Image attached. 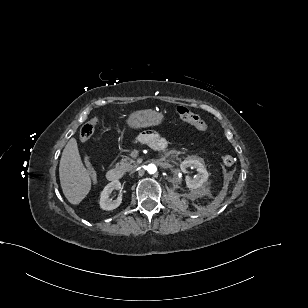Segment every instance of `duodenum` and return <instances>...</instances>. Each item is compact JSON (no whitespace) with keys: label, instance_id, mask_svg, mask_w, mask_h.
Here are the masks:
<instances>
[{"label":"duodenum","instance_id":"410a0bca","mask_svg":"<svg viewBox=\"0 0 308 308\" xmlns=\"http://www.w3.org/2000/svg\"><path fill=\"white\" fill-rule=\"evenodd\" d=\"M165 147V142H160L157 145V149H163ZM106 177L109 181L115 182L122 178V172L118 168H111L107 171Z\"/></svg>","mask_w":308,"mask_h":308}]
</instances>
